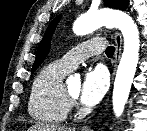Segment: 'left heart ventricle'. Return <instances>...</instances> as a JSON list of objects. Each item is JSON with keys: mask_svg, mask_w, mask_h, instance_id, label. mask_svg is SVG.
I'll use <instances>...</instances> for the list:
<instances>
[{"mask_svg": "<svg viewBox=\"0 0 147 131\" xmlns=\"http://www.w3.org/2000/svg\"><path fill=\"white\" fill-rule=\"evenodd\" d=\"M66 87L72 95L77 97L79 94L81 85L79 81H73L70 84H68Z\"/></svg>", "mask_w": 147, "mask_h": 131, "instance_id": "left-heart-ventricle-1", "label": "left heart ventricle"}]
</instances>
